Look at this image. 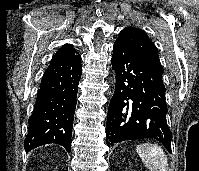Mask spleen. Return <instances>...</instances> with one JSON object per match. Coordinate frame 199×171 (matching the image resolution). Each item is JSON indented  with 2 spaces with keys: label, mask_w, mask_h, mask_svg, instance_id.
<instances>
[{
  "label": "spleen",
  "mask_w": 199,
  "mask_h": 171,
  "mask_svg": "<svg viewBox=\"0 0 199 171\" xmlns=\"http://www.w3.org/2000/svg\"><path fill=\"white\" fill-rule=\"evenodd\" d=\"M136 151L150 171H167L168 159L160 146L144 143L138 145Z\"/></svg>",
  "instance_id": "1"
}]
</instances>
